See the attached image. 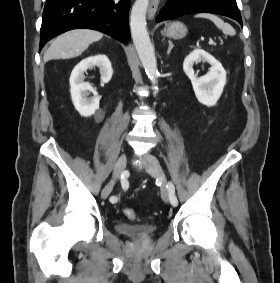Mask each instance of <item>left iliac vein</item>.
<instances>
[{
	"instance_id": "4c4485c4",
	"label": "left iliac vein",
	"mask_w": 280,
	"mask_h": 283,
	"mask_svg": "<svg viewBox=\"0 0 280 283\" xmlns=\"http://www.w3.org/2000/svg\"><path fill=\"white\" fill-rule=\"evenodd\" d=\"M147 163L145 164L146 171L153 177L161 180V196L165 202H169V192L167 188L166 176L161 168L159 161L151 154H145Z\"/></svg>"
}]
</instances>
